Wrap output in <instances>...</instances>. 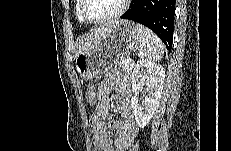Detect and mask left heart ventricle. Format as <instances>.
<instances>
[{
	"mask_svg": "<svg viewBox=\"0 0 231 151\" xmlns=\"http://www.w3.org/2000/svg\"><path fill=\"white\" fill-rule=\"evenodd\" d=\"M122 2L123 0H86L84 13L90 19H100L118 11Z\"/></svg>",
	"mask_w": 231,
	"mask_h": 151,
	"instance_id": "b2bd125f",
	"label": "left heart ventricle"
}]
</instances>
